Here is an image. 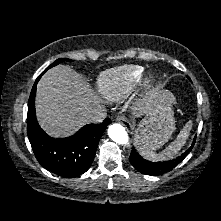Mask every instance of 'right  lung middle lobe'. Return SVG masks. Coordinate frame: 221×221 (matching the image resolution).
I'll use <instances>...</instances> for the list:
<instances>
[{
    "mask_svg": "<svg viewBox=\"0 0 221 221\" xmlns=\"http://www.w3.org/2000/svg\"><path fill=\"white\" fill-rule=\"evenodd\" d=\"M63 61H71L70 59H66V58H60V59H57L54 63H52L50 66H48L43 72H42V74L44 73V72H46L49 68H51V67H53V66H56V65H58L59 63H61V62H63ZM41 74V75H42Z\"/></svg>",
    "mask_w": 221,
    "mask_h": 221,
    "instance_id": "right-lung-middle-lobe-1",
    "label": "right lung middle lobe"
}]
</instances>
